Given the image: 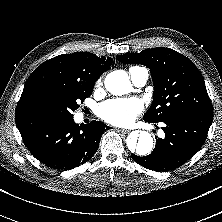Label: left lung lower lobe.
I'll return each instance as SVG.
<instances>
[{"label":"left lung lower lobe","instance_id":"left-lung-lower-lobe-1","mask_svg":"<svg viewBox=\"0 0 222 222\" xmlns=\"http://www.w3.org/2000/svg\"><path fill=\"white\" fill-rule=\"evenodd\" d=\"M213 114L183 112L162 120L164 139L156 137L153 152L145 157L131 155L139 165L156 172L174 170L187 162L204 144Z\"/></svg>","mask_w":222,"mask_h":222}]
</instances>
